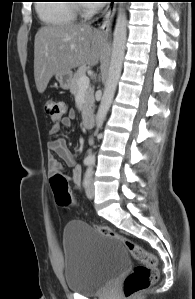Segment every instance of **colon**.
<instances>
[{"label": "colon", "mask_w": 195, "mask_h": 299, "mask_svg": "<svg viewBox=\"0 0 195 299\" xmlns=\"http://www.w3.org/2000/svg\"><path fill=\"white\" fill-rule=\"evenodd\" d=\"M44 107L45 112L53 122L61 121L67 113V104L62 100H47ZM51 186L56 203L59 206L68 207L74 204V200L69 193L68 180L63 174H53L51 177ZM95 228L100 234L123 244L139 263L123 281L122 291L124 296L130 297L156 282L157 259L154 254L106 225L96 224Z\"/></svg>", "instance_id": "1"}]
</instances>
